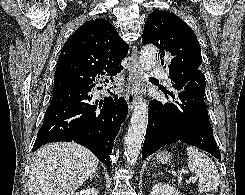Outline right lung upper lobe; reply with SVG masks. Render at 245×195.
<instances>
[{"label":"right lung upper lobe","mask_w":245,"mask_h":195,"mask_svg":"<svg viewBox=\"0 0 245 195\" xmlns=\"http://www.w3.org/2000/svg\"><path fill=\"white\" fill-rule=\"evenodd\" d=\"M129 46L105 19L89 20L64 44L58 57L53 93L91 84L102 75H116Z\"/></svg>","instance_id":"cb5924a9"}]
</instances>
